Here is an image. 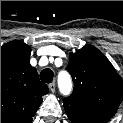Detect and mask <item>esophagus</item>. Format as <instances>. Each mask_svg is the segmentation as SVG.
<instances>
[{
	"instance_id": "34e87169",
	"label": "esophagus",
	"mask_w": 123,
	"mask_h": 123,
	"mask_svg": "<svg viewBox=\"0 0 123 123\" xmlns=\"http://www.w3.org/2000/svg\"><path fill=\"white\" fill-rule=\"evenodd\" d=\"M48 87H49V89H50L51 92H54L55 91V88H56L55 82L50 83Z\"/></svg>"
}]
</instances>
